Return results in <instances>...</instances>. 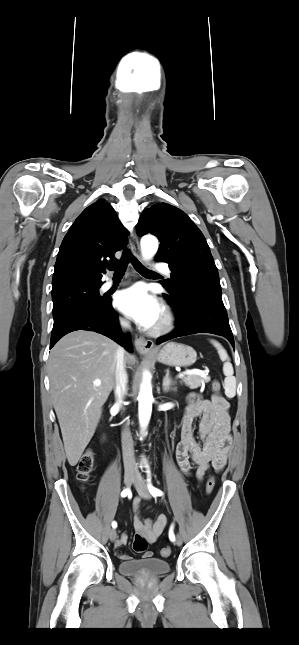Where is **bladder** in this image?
Here are the masks:
<instances>
[{"instance_id":"obj_1","label":"bladder","mask_w":299,"mask_h":645,"mask_svg":"<svg viewBox=\"0 0 299 645\" xmlns=\"http://www.w3.org/2000/svg\"><path fill=\"white\" fill-rule=\"evenodd\" d=\"M118 569L125 576L136 578L158 577L170 571V564L167 560L149 557L122 561Z\"/></svg>"}]
</instances>
